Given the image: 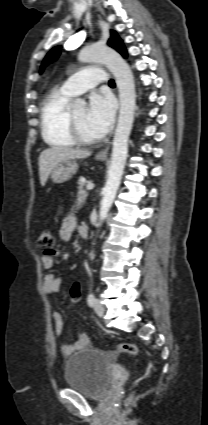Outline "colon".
I'll return each mask as SVG.
<instances>
[{"mask_svg":"<svg viewBox=\"0 0 208 425\" xmlns=\"http://www.w3.org/2000/svg\"><path fill=\"white\" fill-rule=\"evenodd\" d=\"M55 245V235L50 229H43L37 239V246L44 250L45 253H53ZM70 298L72 302H78L81 298V286L79 283H74L70 289ZM118 351L125 352L134 356H143V350L136 344L123 342L117 345ZM132 402V397L127 401V404Z\"/></svg>","mask_w":208,"mask_h":425,"instance_id":"colon-1","label":"colon"}]
</instances>
